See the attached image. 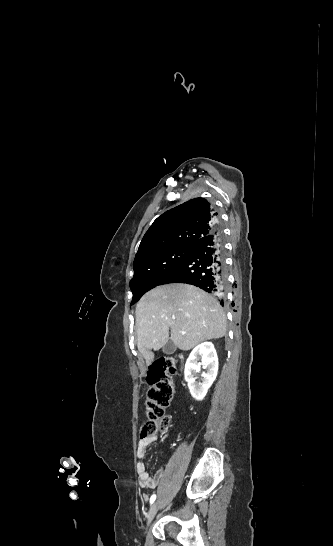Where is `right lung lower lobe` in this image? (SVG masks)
I'll use <instances>...</instances> for the list:
<instances>
[{"mask_svg": "<svg viewBox=\"0 0 333 546\" xmlns=\"http://www.w3.org/2000/svg\"><path fill=\"white\" fill-rule=\"evenodd\" d=\"M187 283L208 293L225 294L227 266L223 234L217 226L192 247L190 254L172 269L158 285Z\"/></svg>", "mask_w": 333, "mask_h": 546, "instance_id": "obj_1", "label": "right lung lower lobe"}]
</instances>
